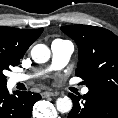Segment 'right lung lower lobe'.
Wrapping results in <instances>:
<instances>
[{"instance_id":"98d812e1","label":"right lung lower lobe","mask_w":118,"mask_h":118,"mask_svg":"<svg viewBox=\"0 0 118 118\" xmlns=\"http://www.w3.org/2000/svg\"><path fill=\"white\" fill-rule=\"evenodd\" d=\"M41 99L40 94L0 88V118H31L33 105Z\"/></svg>"}]
</instances>
